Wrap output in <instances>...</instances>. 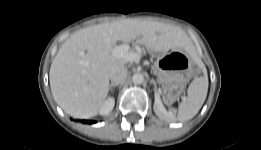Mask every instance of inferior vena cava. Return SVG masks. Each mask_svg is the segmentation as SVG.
Returning a JSON list of instances; mask_svg holds the SVG:
<instances>
[{
  "label": "inferior vena cava",
  "instance_id": "602c4592",
  "mask_svg": "<svg viewBox=\"0 0 261 150\" xmlns=\"http://www.w3.org/2000/svg\"><path fill=\"white\" fill-rule=\"evenodd\" d=\"M128 75L127 68L124 65H118L110 70L109 78L112 83L120 84L123 83Z\"/></svg>",
  "mask_w": 261,
  "mask_h": 150
}]
</instances>
